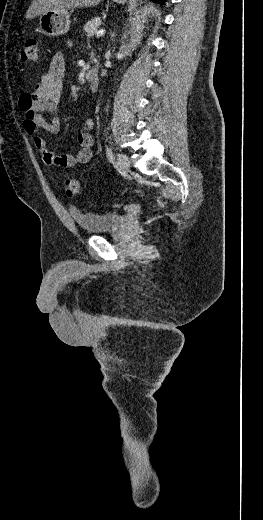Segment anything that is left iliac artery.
Returning <instances> with one entry per match:
<instances>
[{"mask_svg": "<svg viewBox=\"0 0 263 520\" xmlns=\"http://www.w3.org/2000/svg\"><path fill=\"white\" fill-rule=\"evenodd\" d=\"M106 156H107L109 162H113L114 155H113L112 149L108 146L106 148Z\"/></svg>", "mask_w": 263, "mask_h": 520, "instance_id": "obj_1", "label": "left iliac artery"}]
</instances>
